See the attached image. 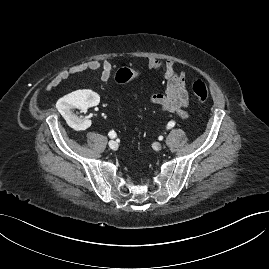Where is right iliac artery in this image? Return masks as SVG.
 I'll return each mask as SVG.
<instances>
[{"instance_id":"right-iliac-artery-1","label":"right iliac artery","mask_w":269,"mask_h":269,"mask_svg":"<svg viewBox=\"0 0 269 269\" xmlns=\"http://www.w3.org/2000/svg\"><path fill=\"white\" fill-rule=\"evenodd\" d=\"M108 135H109V137L112 138V139L115 138V137L117 136L116 133H115L114 131H110Z\"/></svg>"}]
</instances>
